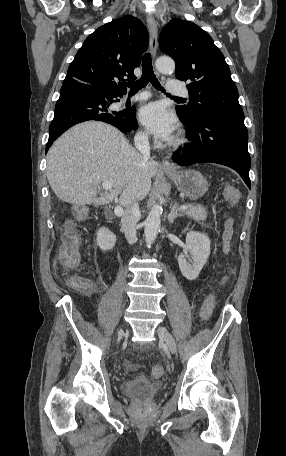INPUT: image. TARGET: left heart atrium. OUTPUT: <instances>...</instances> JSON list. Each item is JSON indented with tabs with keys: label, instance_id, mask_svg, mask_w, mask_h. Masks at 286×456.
Returning a JSON list of instances; mask_svg holds the SVG:
<instances>
[{
	"label": "left heart atrium",
	"instance_id": "39dd6f15",
	"mask_svg": "<svg viewBox=\"0 0 286 456\" xmlns=\"http://www.w3.org/2000/svg\"><path fill=\"white\" fill-rule=\"evenodd\" d=\"M139 119L157 139L169 141L173 138L177 122L163 103L152 102L143 106L139 112Z\"/></svg>",
	"mask_w": 286,
	"mask_h": 456
}]
</instances>
